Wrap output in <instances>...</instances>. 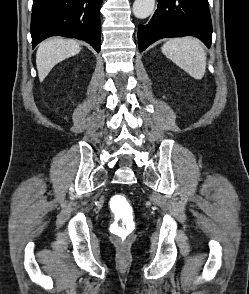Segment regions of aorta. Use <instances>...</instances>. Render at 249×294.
Listing matches in <instances>:
<instances>
[{
  "label": "aorta",
  "instance_id": "1",
  "mask_svg": "<svg viewBox=\"0 0 249 294\" xmlns=\"http://www.w3.org/2000/svg\"><path fill=\"white\" fill-rule=\"evenodd\" d=\"M155 6V0H135L133 4V14L138 19L149 17Z\"/></svg>",
  "mask_w": 249,
  "mask_h": 294
}]
</instances>
